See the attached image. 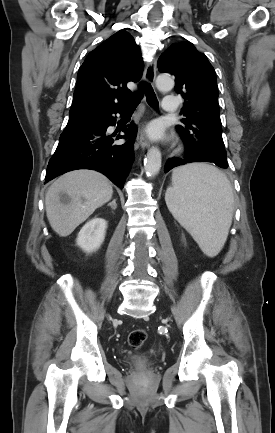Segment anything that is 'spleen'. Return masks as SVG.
Returning <instances> with one entry per match:
<instances>
[{
    "label": "spleen",
    "instance_id": "3e777b00",
    "mask_svg": "<svg viewBox=\"0 0 275 433\" xmlns=\"http://www.w3.org/2000/svg\"><path fill=\"white\" fill-rule=\"evenodd\" d=\"M165 200L204 254L216 256L227 239L234 208L233 190L225 174L203 163L178 167Z\"/></svg>",
    "mask_w": 275,
    "mask_h": 433
}]
</instances>
